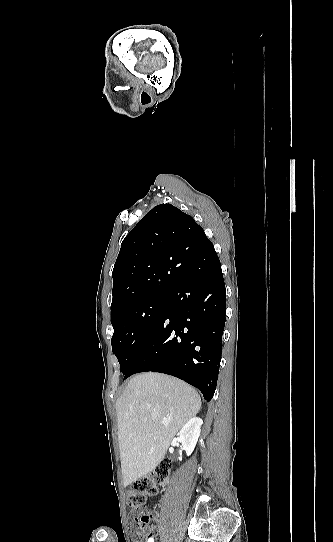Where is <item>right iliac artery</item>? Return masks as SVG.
<instances>
[{
    "mask_svg": "<svg viewBox=\"0 0 333 542\" xmlns=\"http://www.w3.org/2000/svg\"><path fill=\"white\" fill-rule=\"evenodd\" d=\"M148 542H154V540L152 538H149Z\"/></svg>",
    "mask_w": 333,
    "mask_h": 542,
    "instance_id": "obj_1",
    "label": "right iliac artery"
}]
</instances>
